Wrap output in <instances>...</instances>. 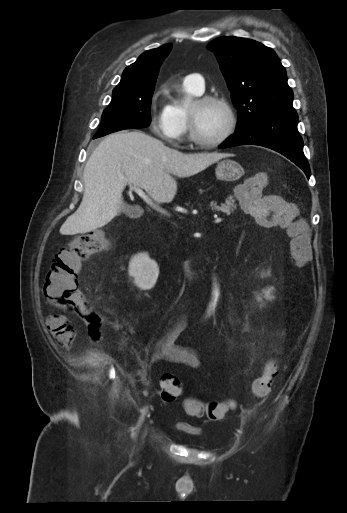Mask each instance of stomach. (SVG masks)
Here are the masks:
<instances>
[{
	"mask_svg": "<svg viewBox=\"0 0 347 513\" xmlns=\"http://www.w3.org/2000/svg\"><path fill=\"white\" fill-rule=\"evenodd\" d=\"M215 175L218 180L232 182L244 175V169L237 161L226 158L218 162Z\"/></svg>",
	"mask_w": 347,
	"mask_h": 513,
	"instance_id": "0dacf381",
	"label": "stomach"
}]
</instances>
